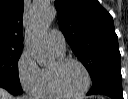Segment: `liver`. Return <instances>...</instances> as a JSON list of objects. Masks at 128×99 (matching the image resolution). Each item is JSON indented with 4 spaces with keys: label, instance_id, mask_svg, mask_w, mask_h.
<instances>
[{
    "label": "liver",
    "instance_id": "liver-1",
    "mask_svg": "<svg viewBox=\"0 0 128 99\" xmlns=\"http://www.w3.org/2000/svg\"><path fill=\"white\" fill-rule=\"evenodd\" d=\"M0 99H14L6 90L0 88ZM21 99H30L27 97H23Z\"/></svg>",
    "mask_w": 128,
    "mask_h": 99
}]
</instances>
